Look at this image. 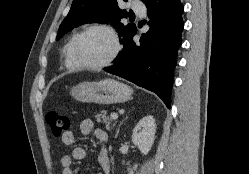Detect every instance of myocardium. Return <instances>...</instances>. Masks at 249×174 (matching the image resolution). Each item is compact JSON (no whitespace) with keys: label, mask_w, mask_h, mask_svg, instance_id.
<instances>
[{"label":"myocardium","mask_w":249,"mask_h":174,"mask_svg":"<svg viewBox=\"0 0 249 174\" xmlns=\"http://www.w3.org/2000/svg\"><path fill=\"white\" fill-rule=\"evenodd\" d=\"M95 30L104 31L110 36L112 43H113V49H112L111 54L104 61L97 63V64H88V63L83 62L80 59L78 55V47L83 37L89 32L95 31ZM120 49H121V45H120L118 34L112 26L107 25V24H93V25L86 27L84 30H82L78 34L72 47V54L79 68L88 69V70H98V69H102V68L109 66L118 56Z\"/></svg>","instance_id":"1"}]
</instances>
